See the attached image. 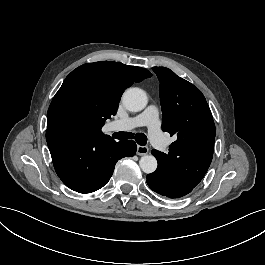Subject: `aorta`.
I'll return each instance as SVG.
<instances>
[{"label":"aorta","mask_w":265,"mask_h":265,"mask_svg":"<svg viewBox=\"0 0 265 265\" xmlns=\"http://www.w3.org/2000/svg\"><path fill=\"white\" fill-rule=\"evenodd\" d=\"M148 103L146 92L138 87L128 88L122 95V104L131 112L143 110ZM143 172L150 174L157 169V160L152 155H144L139 161Z\"/></svg>","instance_id":"762f6f07"}]
</instances>
